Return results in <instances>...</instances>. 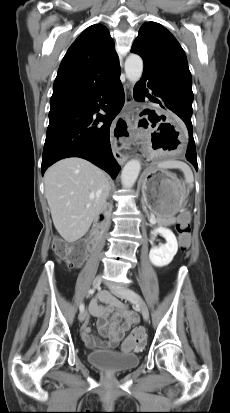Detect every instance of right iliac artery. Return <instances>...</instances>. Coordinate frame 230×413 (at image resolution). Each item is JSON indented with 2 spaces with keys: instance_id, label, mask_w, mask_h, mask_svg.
Returning <instances> with one entry per match:
<instances>
[{
  "instance_id": "82829eb1",
  "label": "right iliac artery",
  "mask_w": 230,
  "mask_h": 413,
  "mask_svg": "<svg viewBox=\"0 0 230 413\" xmlns=\"http://www.w3.org/2000/svg\"><path fill=\"white\" fill-rule=\"evenodd\" d=\"M94 292H95V290L94 289H90L89 291H88V294L89 295H92V294H94ZM79 309H80V311H84V304H80V306H79Z\"/></svg>"
}]
</instances>
